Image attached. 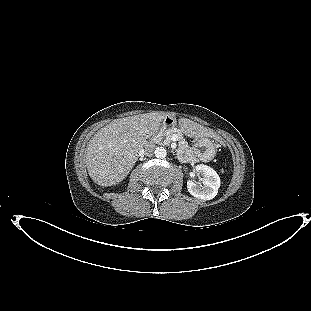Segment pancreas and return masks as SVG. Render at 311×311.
<instances>
[{
  "label": "pancreas",
  "instance_id": "obj_1",
  "mask_svg": "<svg viewBox=\"0 0 311 311\" xmlns=\"http://www.w3.org/2000/svg\"><path fill=\"white\" fill-rule=\"evenodd\" d=\"M173 134H176L178 136L179 140L178 154L180 155L185 154L186 160L188 162L193 161L195 157L187 141L183 138V134L179 129L176 128L166 129L164 131L159 132L158 135L154 137V139L159 143L163 142L164 144H169L171 141L170 138Z\"/></svg>",
  "mask_w": 311,
  "mask_h": 311
}]
</instances>
